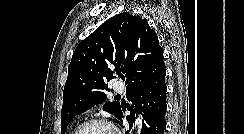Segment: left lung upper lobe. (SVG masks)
<instances>
[{
  "instance_id": "1",
  "label": "left lung upper lobe",
  "mask_w": 244,
  "mask_h": 134,
  "mask_svg": "<svg viewBox=\"0 0 244 134\" xmlns=\"http://www.w3.org/2000/svg\"><path fill=\"white\" fill-rule=\"evenodd\" d=\"M113 73L126 82V92L165 83L166 67L156 33L148 22L129 12L113 16L75 49L63 91L61 134L71 119L106 100ZM103 109L118 118L119 102Z\"/></svg>"
}]
</instances>
